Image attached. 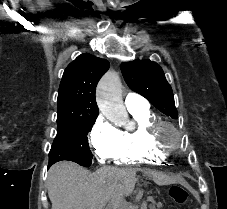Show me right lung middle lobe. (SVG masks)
Here are the masks:
<instances>
[{"mask_svg":"<svg viewBox=\"0 0 227 209\" xmlns=\"http://www.w3.org/2000/svg\"><path fill=\"white\" fill-rule=\"evenodd\" d=\"M97 115H62L57 117V135L49 153L48 168L62 160L76 162L89 167L92 157L88 132L91 131Z\"/></svg>","mask_w":227,"mask_h":209,"instance_id":"1","label":"right lung middle lobe"}]
</instances>
